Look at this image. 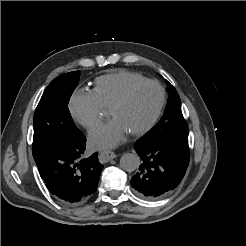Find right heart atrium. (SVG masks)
<instances>
[{
	"instance_id": "right-heart-atrium-1",
	"label": "right heart atrium",
	"mask_w": 246,
	"mask_h": 246,
	"mask_svg": "<svg viewBox=\"0 0 246 246\" xmlns=\"http://www.w3.org/2000/svg\"><path fill=\"white\" fill-rule=\"evenodd\" d=\"M68 109L75 122L87 129L96 127L106 115L91 91L77 90L68 102Z\"/></svg>"
}]
</instances>
